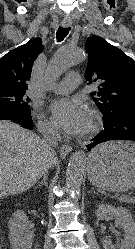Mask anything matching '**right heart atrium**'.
<instances>
[{
	"label": "right heart atrium",
	"mask_w": 135,
	"mask_h": 249,
	"mask_svg": "<svg viewBox=\"0 0 135 249\" xmlns=\"http://www.w3.org/2000/svg\"><path fill=\"white\" fill-rule=\"evenodd\" d=\"M36 117L38 119V126L43 133L56 134L58 132L56 126L51 121L47 120L41 113L37 112Z\"/></svg>",
	"instance_id": "right-heart-atrium-1"
}]
</instances>
